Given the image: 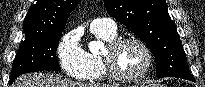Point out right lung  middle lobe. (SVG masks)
Segmentation results:
<instances>
[{
  "label": "right lung middle lobe",
  "instance_id": "obj_1",
  "mask_svg": "<svg viewBox=\"0 0 205 87\" xmlns=\"http://www.w3.org/2000/svg\"><path fill=\"white\" fill-rule=\"evenodd\" d=\"M61 32L26 35L12 65L10 83L19 75L42 70H60L56 50Z\"/></svg>",
  "mask_w": 205,
  "mask_h": 87
}]
</instances>
